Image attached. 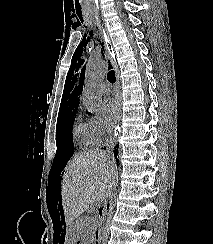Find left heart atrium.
Listing matches in <instances>:
<instances>
[{"label": "left heart atrium", "instance_id": "1", "mask_svg": "<svg viewBox=\"0 0 213 244\" xmlns=\"http://www.w3.org/2000/svg\"><path fill=\"white\" fill-rule=\"evenodd\" d=\"M104 120L109 129L115 127L119 117V101L117 97H108L102 103Z\"/></svg>", "mask_w": 213, "mask_h": 244}]
</instances>
